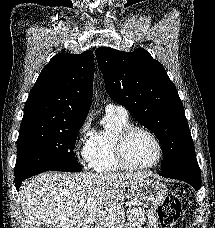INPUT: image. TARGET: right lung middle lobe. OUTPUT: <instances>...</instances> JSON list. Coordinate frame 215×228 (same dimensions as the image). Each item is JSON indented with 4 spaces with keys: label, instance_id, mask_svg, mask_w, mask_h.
Wrapping results in <instances>:
<instances>
[{
    "label": "right lung middle lobe",
    "instance_id": "right-lung-middle-lobe-1",
    "mask_svg": "<svg viewBox=\"0 0 215 228\" xmlns=\"http://www.w3.org/2000/svg\"><path fill=\"white\" fill-rule=\"evenodd\" d=\"M82 122H62L20 129L15 176L35 170L80 172L74 146Z\"/></svg>",
    "mask_w": 215,
    "mask_h": 228
}]
</instances>
